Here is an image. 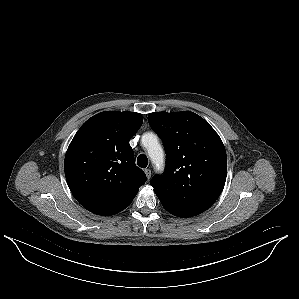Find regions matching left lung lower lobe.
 I'll list each match as a JSON object with an SVG mask.
<instances>
[{"label":"left lung lower lobe","mask_w":299,"mask_h":299,"mask_svg":"<svg viewBox=\"0 0 299 299\" xmlns=\"http://www.w3.org/2000/svg\"><path fill=\"white\" fill-rule=\"evenodd\" d=\"M160 201H161L163 207L168 212H170L171 214H173L175 216L184 217V218L198 215L208 209V208H201V207L176 206V205H172L170 203L164 202L162 200H160Z\"/></svg>","instance_id":"obj_1"}]
</instances>
